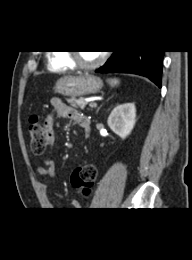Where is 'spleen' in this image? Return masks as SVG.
<instances>
[{"mask_svg": "<svg viewBox=\"0 0 192 260\" xmlns=\"http://www.w3.org/2000/svg\"><path fill=\"white\" fill-rule=\"evenodd\" d=\"M107 81L111 87L118 86L120 83L119 79L117 78L108 79Z\"/></svg>", "mask_w": 192, "mask_h": 260, "instance_id": "1", "label": "spleen"}]
</instances>
